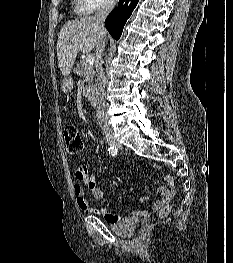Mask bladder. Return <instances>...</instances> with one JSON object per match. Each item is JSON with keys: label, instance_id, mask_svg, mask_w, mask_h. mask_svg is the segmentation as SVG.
<instances>
[{"label": "bladder", "instance_id": "31cf9c89", "mask_svg": "<svg viewBox=\"0 0 233 263\" xmlns=\"http://www.w3.org/2000/svg\"><path fill=\"white\" fill-rule=\"evenodd\" d=\"M138 219L136 217H125L118 222L110 224L111 230L119 236H130L137 227Z\"/></svg>", "mask_w": 233, "mask_h": 263}]
</instances>
